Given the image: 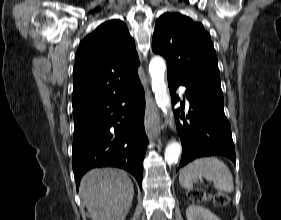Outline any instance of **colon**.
<instances>
[{
	"label": "colon",
	"mask_w": 281,
	"mask_h": 220,
	"mask_svg": "<svg viewBox=\"0 0 281 220\" xmlns=\"http://www.w3.org/2000/svg\"><path fill=\"white\" fill-rule=\"evenodd\" d=\"M188 196L192 201L196 202L211 200L217 206H226L229 203V197L223 193L211 196L202 190H192Z\"/></svg>",
	"instance_id": "1"
}]
</instances>
